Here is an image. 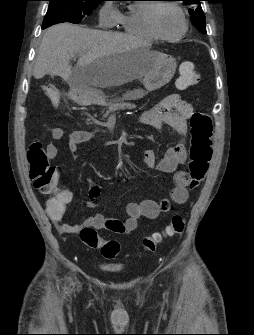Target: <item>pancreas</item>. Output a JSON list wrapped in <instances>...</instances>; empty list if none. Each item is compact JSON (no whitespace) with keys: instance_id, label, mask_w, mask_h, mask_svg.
Masks as SVG:
<instances>
[{"instance_id":"obj_1","label":"pancreas","mask_w":254,"mask_h":335,"mask_svg":"<svg viewBox=\"0 0 254 335\" xmlns=\"http://www.w3.org/2000/svg\"><path fill=\"white\" fill-rule=\"evenodd\" d=\"M126 100L124 97L122 100L120 99H114L112 100L108 105V110L104 114V117H107L109 113L117 111V110H124V109H133L136 107L135 104L124 102Z\"/></svg>"}]
</instances>
